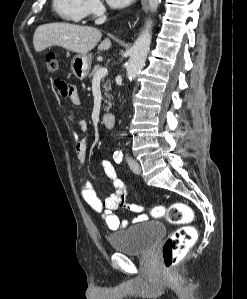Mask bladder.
<instances>
[{"label": "bladder", "instance_id": "obj_1", "mask_svg": "<svg viewBox=\"0 0 247 299\" xmlns=\"http://www.w3.org/2000/svg\"><path fill=\"white\" fill-rule=\"evenodd\" d=\"M165 226L153 220L109 234L108 240L111 247L128 255H143L152 250L165 235Z\"/></svg>", "mask_w": 247, "mask_h": 299}]
</instances>
